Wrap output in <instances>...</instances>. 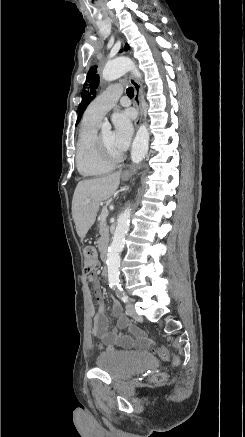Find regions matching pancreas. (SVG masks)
I'll list each match as a JSON object with an SVG mask.
<instances>
[{
    "instance_id": "obj_1",
    "label": "pancreas",
    "mask_w": 245,
    "mask_h": 437,
    "mask_svg": "<svg viewBox=\"0 0 245 437\" xmlns=\"http://www.w3.org/2000/svg\"><path fill=\"white\" fill-rule=\"evenodd\" d=\"M105 208L106 207H104L103 210ZM103 210H102L101 215H100V217L98 219V222H99V234L101 236L99 238V240H98V248H99V250H102V249L106 248V246L108 245V242H109V228H108L105 220L102 217Z\"/></svg>"
}]
</instances>
